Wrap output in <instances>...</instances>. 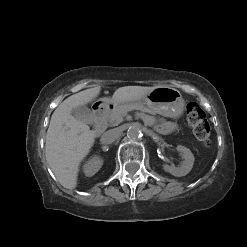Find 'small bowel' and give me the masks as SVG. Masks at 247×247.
Here are the masks:
<instances>
[{"label": "small bowel", "instance_id": "obj_1", "mask_svg": "<svg viewBox=\"0 0 247 247\" xmlns=\"http://www.w3.org/2000/svg\"><path fill=\"white\" fill-rule=\"evenodd\" d=\"M173 127V125L171 123L168 122H162L159 124V128L162 132H168L169 130H171Z\"/></svg>", "mask_w": 247, "mask_h": 247}]
</instances>
